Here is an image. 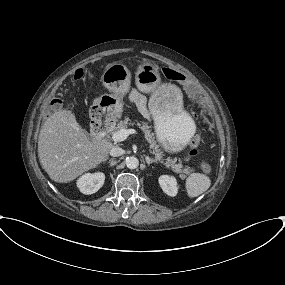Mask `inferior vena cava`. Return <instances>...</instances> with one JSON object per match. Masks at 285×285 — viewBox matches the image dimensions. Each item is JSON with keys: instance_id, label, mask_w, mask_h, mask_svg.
I'll use <instances>...</instances> for the list:
<instances>
[{"instance_id": "obj_1", "label": "inferior vena cava", "mask_w": 285, "mask_h": 285, "mask_svg": "<svg viewBox=\"0 0 285 285\" xmlns=\"http://www.w3.org/2000/svg\"><path fill=\"white\" fill-rule=\"evenodd\" d=\"M124 150L118 146H114L110 150V155L113 157H118L124 154Z\"/></svg>"}]
</instances>
